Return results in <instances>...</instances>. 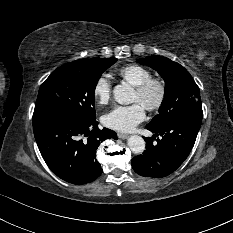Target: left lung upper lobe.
<instances>
[{
	"label": "left lung upper lobe",
	"instance_id": "1",
	"mask_svg": "<svg viewBox=\"0 0 233 233\" xmlns=\"http://www.w3.org/2000/svg\"><path fill=\"white\" fill-rule=\"evenodd\" d=\"M137 61L155 69L165 81V95L159 114L146 126L160 128L193 109L202 108L199 87L180 64L162 56H148Z\"/></svg>",
	"mask_w": 233,
	"mask_h": 233
}]
</instances>
